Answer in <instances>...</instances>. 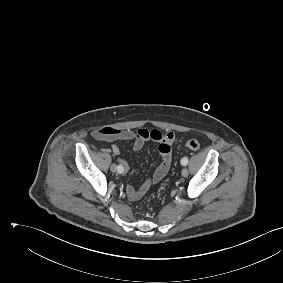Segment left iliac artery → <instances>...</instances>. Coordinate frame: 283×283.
Wrapping results in <instances>:
<instances>
[{
  "label": "left iliac artery",
  "mask_w": 283,
  "mask_h": 283,
  "mask_svg": "<svg viewBox=\"0 0 283 283\" xmlns=\"http://www.w3.org/2000/svg\"><path fill=\"white\" fill-rule=\"evenodd\" d=\"M181 164L183 166H186L188 164V159L186 157H184L182 160H181Z\"/></svg>",
  "instance_id": "obj_1"
}]
</instances>
